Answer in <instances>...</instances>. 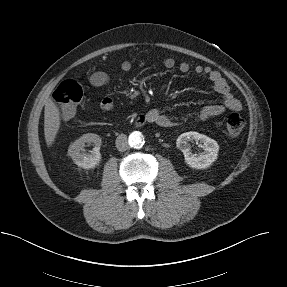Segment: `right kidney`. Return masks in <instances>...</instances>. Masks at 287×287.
I'll use <instances>...</instances> for the list:
<instances>
[{"instance_id": "ca27d5eb", "label": "right kidney", "mask_w": 287, "mask_h": 287, "mask_svg": "<svg viewBox=\"0 0 287 287\" xmlns=\"http://www.w3.org/2000/svg\"><path fill=\"white\" fill-rule=\"evenodd\" d=\"M85 143H93L94 148L90 153H85ZM101 138L97 134L87 133L75 140L68 149V155L73 162L84 169H91L101 161L100 146Z\"/></svg>"}]
</instances>
